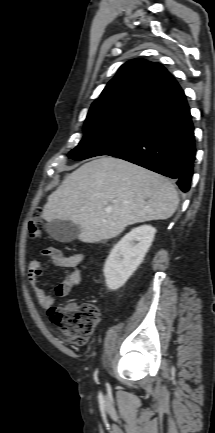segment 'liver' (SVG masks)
<instances>
[{
  "label": "liver",
  "instance_id": "6515ba94",
  "mask_svg": "<svg viewBox=\"0 0 215 433\" xmlns=\"http://www.w3.org/2000/svg\"><path fill=\"white\" fill-rule=\"evenodd\" d=\"M178 203L168 178L122 159L101 157L69 174L48 197L42 216L47 222L71 221L80 226V241L97 243L118 236L128 225L168 219Z\"/></svg>",
  "mask_w": 215,
  "mask_h": 433
}]
</instances>
